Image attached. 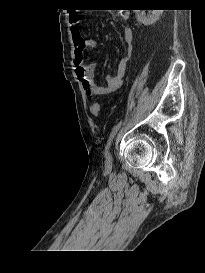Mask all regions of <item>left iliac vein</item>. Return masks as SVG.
I'll use <instances>...</instances> for the list:
<instances>
[{
  "mask_svg": "<svg viewBox=\"0 0 205 273\" xmlns=\"http://www.w3.org/2000/svg\"><path fill=\"white\" fill-rule=\"evenodd\" d=\"M107 160H108V162H111V161H112V155H111V153L108 154Z\"/></svg>",
  "mask_w": 205,
  "mask_h": 273,
  "instance_id": "left-iliac-vein-1",
  "label": "left iliac vein"
}]
</instances>
